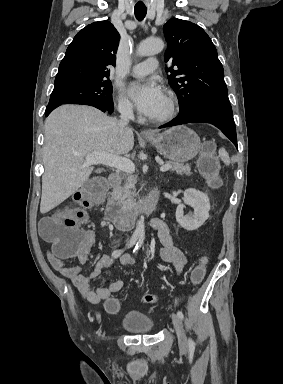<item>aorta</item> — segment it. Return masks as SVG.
<instances>
[{"instance_id":"aorta-1","label":"aorta","mask_w":283,"mask_h":384,"mask_svg":"<svg viewBox=\"0 0 283 384\" xmlns=\"http://www.w3.org/2000/svg\"><path fill=\"white\" fill-rule=\"evenodd\" d=\"M164 48V43L160 39H147L142 41L137 49L140 56H151L160 53ZM144 218L141 216L137 222L134 234L138 237L144 236Z\"/></svg>"}]
</instances>
